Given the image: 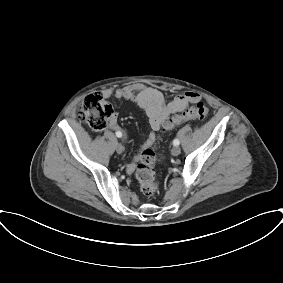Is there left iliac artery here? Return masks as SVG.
<instances>
[{"instance_id":"1","label":"left iliac artery","mask_w":283,"mask_h":283,"mask_svg":"<svg viewBox=\"0 0 283 283\" xmlns=\"http://www.w3.org/2000/svg\"><path fill=\"white\" fill-rule=\"evenodd\" d=\"M173 144L175 146H178L180 144V141L178 139H174Z\"/></svg>"}]
</instances>
